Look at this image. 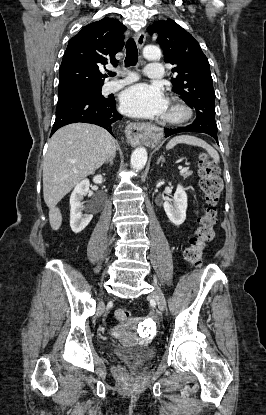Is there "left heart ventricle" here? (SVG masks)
Returning a JSON list of instances; mask_svg holds the SVG:
<instances>
[{"label": "left heart ventricle", "instance_id": "left-heart-ventricle-1", "mask_svg": "<svg viewBox=\"0 0 266 415\" xmlns=\"http://www.w3.org/2000/svg\"><path fill=\"white\" fill-rule=\"evenodd\" d=\"M168 113H170V109H169V108L167 109V111H166V113H165V114H168Z\"/></svg>", "mask_w": 266, "mask_h": 415}]
</instances>
